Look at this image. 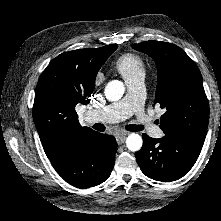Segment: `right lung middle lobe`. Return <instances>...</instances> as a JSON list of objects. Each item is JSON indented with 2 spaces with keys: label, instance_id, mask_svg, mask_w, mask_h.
I'll list each match as a JSON object with an SVG mask.
<instances>
[{
  "label": "right lung middle lobe",
  "instance_id": "right-lung-middle-lobe-1",
  "mask_svg": "<svg viewBox=\"0 0 221 221\" xmlns=\"http://www.w3.org/2000/svg\"><path fill=\"white\" fill-rule=\"evenodd\" d=\"M117 45L116 44H113L112 45V48H111V50H110V54L112 53V52H114L116 49H117Z\"/></svg>",
  "mask_w": 221,
  "mask_h": 221
}]
</instances>
